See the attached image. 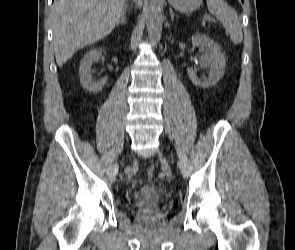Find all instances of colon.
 Segmentation results:
<instances>
[{
    "label": "colon",
    "instance_id": "5ec220e1",
    "mask_svg": "<svg viewBox=\"0 0 295 250\" xmlns=\"http://www.w3.org/2000/svg\"><path fill=\"white\" fill-rule=\"evenodd\" d=\"M154 175H155V170H154V168H149L148 171H147V177H148L149 179H152V178L154 177Z\"/></svg>",
    "mask_w": 295,
    "mask_h": 250
}]
</instances>
